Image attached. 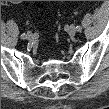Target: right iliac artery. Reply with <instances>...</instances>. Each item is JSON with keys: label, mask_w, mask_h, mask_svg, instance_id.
Here are the masks:
<instances>
[{"label": "right iliac artery", "mask_w": 109, "mask_h": 109, "mask_svg": "<svg viewBox=\"0 0 109 109\" xmlns=\"http://www.w3.org/2000/svg\"><path fill=\"white\" fill-rule=\"evenodd\" d=\"M21 38H22V39H25V33H23V34L21 35Z\"/></svg>", "instance_id": "1"}]
</instances>
